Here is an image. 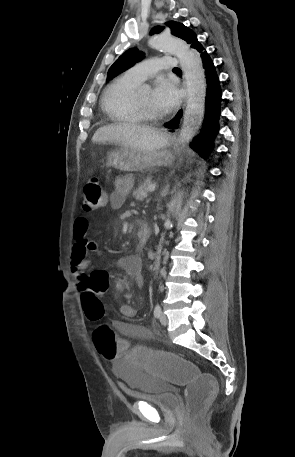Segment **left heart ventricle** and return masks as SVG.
Returning a JSON list of instances; mask_svg holds the SVG:
<instances>
[{
  "instance_id": "left-heart-ventricle-1",
  "label": "left heart ventricle",
  "mask_w": 295,
  "mask_h": 457,
  "mask_svg": "<svg viewBox=\"0 0 295 457\" xmlns=\"http://www.w3.org/2000/svg\"><path fill=\"white\" fill-rule=\"evenodd\" d=\"M138 102L144 107L157 111L152 102V93L150 91H142L136 96Z\"/></svg>"
}]
</instances>
